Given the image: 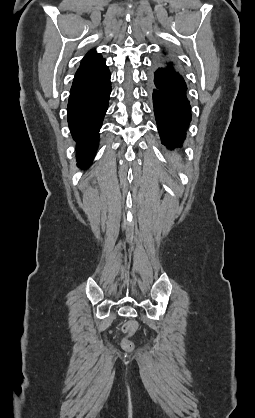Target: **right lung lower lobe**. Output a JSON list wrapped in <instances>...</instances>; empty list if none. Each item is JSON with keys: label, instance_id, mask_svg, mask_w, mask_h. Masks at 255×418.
<instances>
[{"label": "right lung lower lobe", "instance_id": "98d812e1", "mask_svg": "<svg viewBox=\"0 0 255 418\" xmlns=\"http://www.w3.org/2000/svg\"><path fill=\"white\" fill-rule=\"evenodd\" d=\"M111 92L110 71L102 57L81 62L70 90L68 123L77 142L80 168H87L98 147L99 130Z\"/></svg>", "mask_w": 255, "mask_h": 418}]
</instances>
